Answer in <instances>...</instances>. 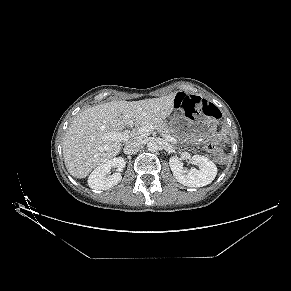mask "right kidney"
<instances>
[{
    "mask_svg": "<svg viewBox=\"0 0 291 291\" xmlns=\"http://www.w3.org/2000/svg\"><path fill=\"white\" fill-rule=\"evenodd\" d=\"M126 162L122 157L112 158L96 167L89 176L88 185L95 190H107L117 185L121 179V171L125 168ZM116 168L117 172L111 173Z\"/></svg>",
    "mask_w": 291,
    "mask_h": 291,
    "instance_id": "1",
    "label": "right kidney"
}]
</instances>
